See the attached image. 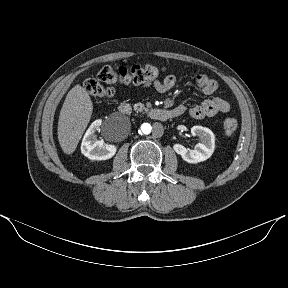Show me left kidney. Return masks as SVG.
<instances>
[{
  "label": "left kidney",
  "instance_id": "5707ae66",
  "mask_svg": "<svg viewBox=\"0 0 288 288\" xmlns=\"http://www.w3.org/2000/svg\"><path fill=\"white\" fill-rule=\"evenodd\" d=\"M192 136H198L201 143L196 144L194 150H189L181 144H174L173 149L183 160L188 163H199L210 158L215 148V136L213 132L202 126L191 128Z\"/></svg>",
  "mask_w": 288,
  "mask_h": 288
}]
</instances>
